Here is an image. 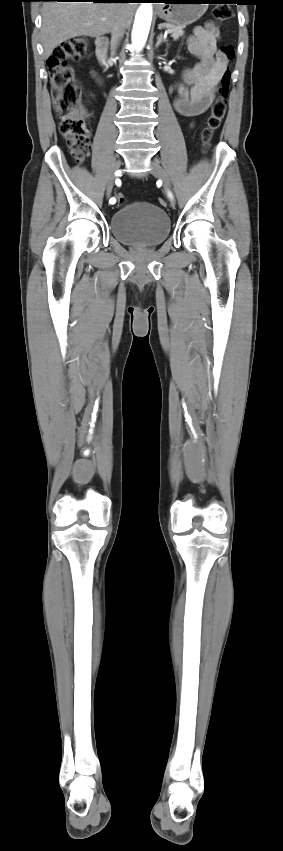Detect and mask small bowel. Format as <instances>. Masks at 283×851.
I'll use <instances>...</instances> for the list:
<instances>
[{
    "instance_id": "c3829d8e",
    "label": "small bowel",
    "mask_w": 283,
    "mask_h": 851,
    "mask_svg": "<svg viewBox=\"0 0 283 851\" xmlns=\"http://www.w3.org/2000/svg\"><path fill=\"white\" fill-rule=\"evenodd\" d=\"M220 38L218 28L208 22L197 26L187 40L188 50L199 58V62L184 72V85L178 88L174 108L181 116L192 118L204 113L211 105L217 86L227 69V58L218 50ZM91 76L97 83L107 86L97 70ZM73 146V145H71ZM73 148L71 149L72 152Z\"/></svg>"
}]
</instances>
